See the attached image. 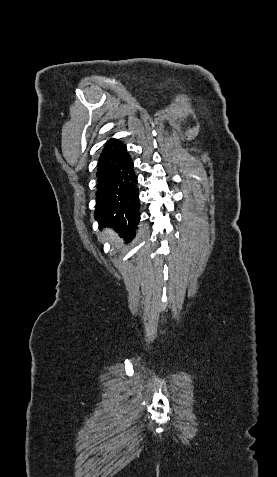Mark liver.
Instances as JSON below:
<instances>
[{
    "label": "liver",
    "mask_w": 277,
    "mask_h": 477,
    "mask_svg": "<svg viewBox=\"0 0 277 477\" xmlns=\"http://www.w3.org/2000/svg\"><path fill=\"white\" fill-rule=\"evenodd\" d=\"M105 233L109 236V238H110L113 242H119V238L117 237V235L114 234L113 232H111L110 230H106Z\"/></svg>",
    "instance_id": "liver-1"
}]
</instances>
